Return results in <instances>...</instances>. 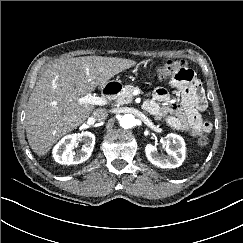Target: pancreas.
<instances>
[{
  "label": "pancreas",
  "mask_w": 243,
  "mask_h": 243,
  "mask_svg": "<svg viewBox=\"0 0 243 243\" xmlns=\"http://www.w3.org/2000/svg\"><path fill=\"white\" fill-rule=\"evenodd\" d=\"M135 87L132 85H126L122 91L115 97V100L118 104H128L131 103L133 99V91Z\"/></svg>",
  "instance_id": "obj_1"
}]
</instances>
